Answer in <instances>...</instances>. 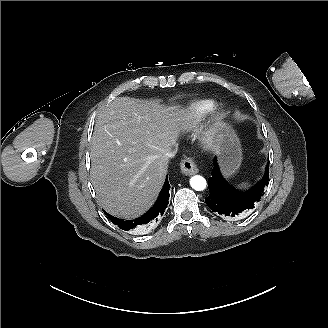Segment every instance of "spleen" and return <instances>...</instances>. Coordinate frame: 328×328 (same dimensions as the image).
Segmentation results:
<instances>
[{
	"mask_svg": "<svg viewBox=\"0 0 328 328\" xmlns=\"http://www.w3.org/2000/svg\"><path fill=\"white\" fill-rule=\"evenodd\" d=\"M248 186L247 183L242 182L241 184L238 185V188L242 189V188H246Z\"/></svg>",
	"mask_w": 328,
	"mask_h": 328,
	"instance_id": "obj_1",
	"label": "spleen"
}]
</instances>
